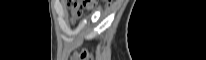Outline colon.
<instances>
[{
	"mask_svg": "<svg viewBox=\"0 0 206 60\" xmlns=\"http://www.w3.org/2000/svg\"><path fill=\"white\" fill-rule=\"evenodd\" d=\"M95 2L94 0L91 1H68V6L70 8H75L81 10L83 7L88 6L90 3ZM82 59H85L87 57V53L82 54Z\"/></svg>",
	"mask_w": 206,
	"mask_h": 60,
	"instance_id": "obj_1",
	"label": "colon"
}]
</instances>
